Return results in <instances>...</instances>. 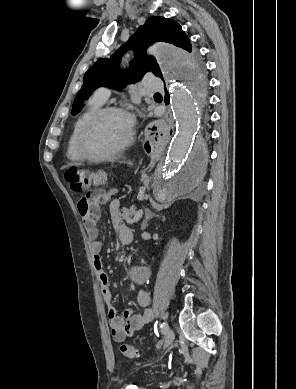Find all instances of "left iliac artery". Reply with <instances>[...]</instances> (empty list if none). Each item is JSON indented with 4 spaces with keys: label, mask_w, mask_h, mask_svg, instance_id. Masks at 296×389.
I'll use <instances>...</instances> for the list:
<instances>
[{
    "label": "left iliac artery",
    "mask_w": 296,
    "mask_h": 389,
    "mask_svg": "<svg viewBox=\"0 0 296 389\" xmlns=\"http://www.w3.org/2000/svg\"><path fill=\"white\" fill-rule=\"evenodd\" d=\"M160 328H161V332L163 334H165L167 332V330L169 329V326L167 323H162V324H160Z\"/></svg>",
    "instance_id": "1"
}]
</instances>
